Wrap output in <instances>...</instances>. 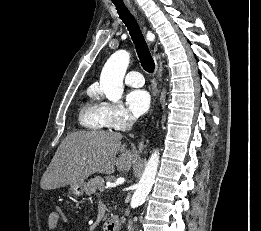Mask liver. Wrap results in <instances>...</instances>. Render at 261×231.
<instances>
[{
  "label": "liver",
  "instance_id": "liver-1",
  "mask_svg": "<svg viewBox=\"0 0 261 231\" xmlns=\"http://www.w3.org/2000/svg\"><path fill=\"white\" fill-rule=\"evenodd\" d=\"M122 135L118 132H74L58 147L40 182L44 190L84 182L90 175L129 171L134 165L130 150L121 149Z\"/></svg>",
  "mask_w": 261,
  "mask_h": 231
}]
</instances>
